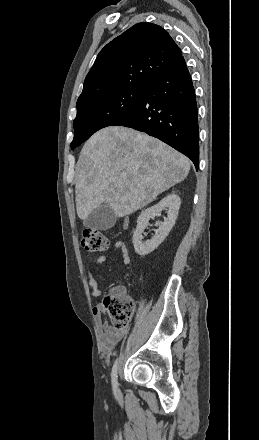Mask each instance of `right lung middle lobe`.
<instances>
[{"instance_id":"dd1d6c3e","label":"right lung middle lobe","mask_w":259,"mask_h":440,"mask_svg":"<svg viewBox=\"0 0 259 440\" xmlns=\"http://www.w3.org/2000/svg\"><path fill=\"white\" fill-rule=\"evenodd\" d=\"M146 90L147 87L121 89L77 107L71 148L78 147L96 131L113 125L129 114L140 102Z\"/></svg>"}]
</instances>
